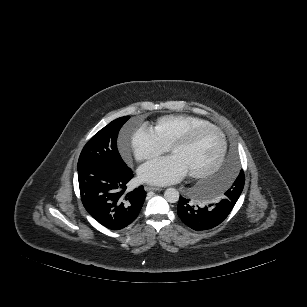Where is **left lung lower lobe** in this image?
Listing matches in <instances>:
<instances>
[{"instance_id":"1","label":"left lung lower lobe","mask_w":307,"mask_h":307,"mask_svg":"<svg viewBox=\"0 0 307 307\" xmlns=\"http://www.w3.org/2000/svg\"><path fill=\"white\" fill-rule=\"evenodd\" d=\"M226 193L217 203L201 207L192 205L190 199L180 196L177 207L180 219L196 231L216 227L227 218L238 200Z\"/></svg>"}]
</instances>
